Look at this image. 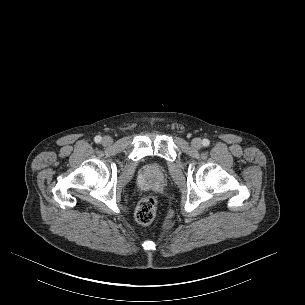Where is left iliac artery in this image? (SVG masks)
Returning a JSON list of instances; mask_svg holds the SVG:
<instances>
[{
    "label": "left iliac artery",
    "mask_w": 305,
    "mask_h": 305,
    "mask_svg": "<svg viewBox=\"0 0 305 305\" xmlns=\"http://www.w3.org/2000/svg\"><path fill=\"white\" fill-rule=\"evenodd\" d=\"M203 146L207 147L210 144V141L208 139H203L202 141Z\"/></svg>",
    "instance_id": "1"
}]
</instances>
